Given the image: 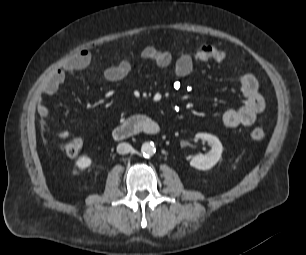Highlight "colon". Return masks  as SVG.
<instances>
[{
    "mask_svg": "<svg viewBox=\"0 0 306 255\" xmlns=\"http://www.w3.org/2000/svg\"><path fill=\"white\" fill-rule=\"evenodd\" d=\"M250 137L254 141H260L265 137V131L262 127L256 126L251 130ZM82 146V140L77 138L68 142L64 146V150L68 156L75 157L80 153Z\"/></svg>",
    "mask_w": 306,
    "mask_h": 255,
    "instance_id": "1",
    "label": "colon"
}]
</instances>
